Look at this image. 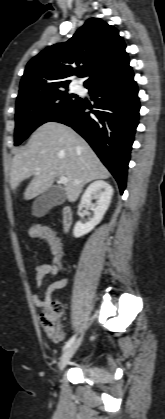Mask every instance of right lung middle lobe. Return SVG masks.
<instances>
[{
  "instance_id": "right-lung-middle-lobe-1",
  "label": "right lung middle lobe",
  "mask_w": 165,
  "mask_h": 419,
  "mask_svg": "<svg viewBox=\"0 0 165 419\" xmlns=\"http://www.w3.org/2000/svg\"><path fill=\"white\" fill-rule=\"evenodd\" d=\"M80 100L63 88L40 92L17 101L14 145H19L43 123L74 108Z\"/></svg>"
}]
</instances>
